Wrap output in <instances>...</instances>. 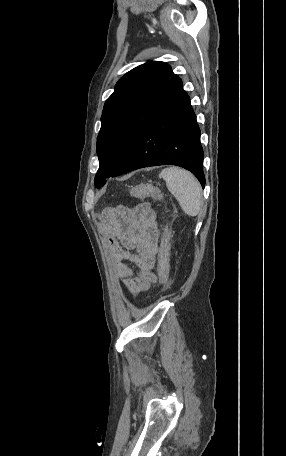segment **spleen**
Wrapping results in <instances>:
<instances>
[{"label":"spleen","mask_w":286,"mask_h":456,"mask_svg":"<svg viewBox=\"0 0 286 456\" xmlns=\"http://www.w3.org/2000/svg\"><path fill=\"white\" fill-rule=\"evenodd\" d=\"M159 177L163 178L168 190L187 215L194 217L199 214L203 205L202 189L192 173L178 167H168L161 171Z\"/></svg>","instance_id":"1"}]
</instances>
